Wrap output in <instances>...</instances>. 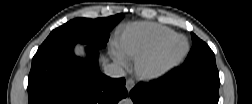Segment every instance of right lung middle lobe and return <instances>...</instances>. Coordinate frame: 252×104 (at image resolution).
<instances>
[{
	"mask_svg": "<svg viewBox=\"0 0 252 104\" xmlns=\"http://www.w3.org/2000/svg\"><path fill=\"white\" fill-rule=\"evenodd\" d=\"M124 14L98 19L76 18L53 30L41 44L37 52L76 43L86 44L94 49H102L110 36L112 28L123 18Z\"/></svg>",
	"mask_w": 252,
	"mask_h": 104,
	"instance_id": "1",
	"label": "right lung middle lobe"
}]
</instances>
